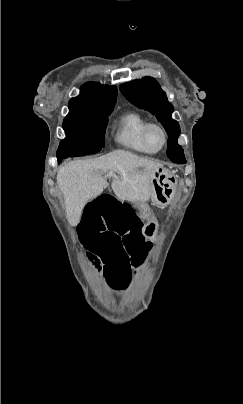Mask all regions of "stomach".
<instances>
[{
	"label": "stomach",
	"instance_id": "stomach-1",
	"mask_svg": "<svg viewBox=\"0 0 243 404\" xmlns=\"http://www.w3.org/2000/svg\"><path fill=\"white\" fill-rule=\"evenodd\" d=\"M175 177L163 167L156 168L151 175V199L154 204L164 206L173 195ZM138 210L147 220L143 235L147 239H154L157 223L152 217L150 208L146 204L137 205Z\"/></svg>",
	"mask_w": 243,
	"mask_h": 404
}]
</instances>
